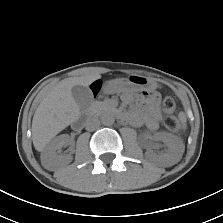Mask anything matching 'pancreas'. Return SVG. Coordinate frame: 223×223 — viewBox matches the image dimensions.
Returning a JSON list of instances; mask_svg holds the SVG:
<instances>
[{
	"label": "pancreas",
	"mask_w": 223,
	"mask_h": 223,
	"mask_svg": "<svg viewBox=\"0 0 223 223\" xmlns=\"http://www.w3.org/2000/svg\"><path fill=\"white\" fill-rule=\"evenodd\" d=\"M111 109H112V107L108 100L96 101V102L92 103L90 106V110L93 113H97V114H101V113H103L105 111H109Z\"/></svg>",
	"instance_id": "1"
}]
</instances>
